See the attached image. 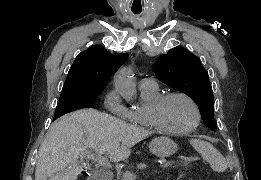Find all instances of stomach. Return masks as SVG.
Here are the masks:
<instances>
[{
    "instance_id": "1",
    "label": "stomach",
    "mask_w": 261,
    "mask_h": 180,
    "mask_svg": "<svg viewBox=\"0 0 261 180\" xmlns=\"http://www.w3.org/2000/svg\"><path fill=\"white\" fill-rule=\"evenodd\" d=\"M149 150L152 154L165 158L176 153L177 144L168 137H157L149 143Z\"/></svg>"
}]
</instances>
